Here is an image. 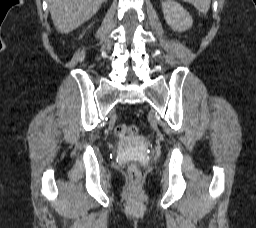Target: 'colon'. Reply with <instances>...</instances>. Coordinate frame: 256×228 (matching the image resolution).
I'll return each mask as SVG.
<instances>
[{
    "label": "colon",
    "mask_w": 256,
    "mask_h": 228,
    "mask_svg": "<svg viewBox=\"0 0 256 228\" xmlns=\"http://www.w3.org/2000/svg\"><path fill=\"white\" fill-rule=\"evenodd\" d=\"M137 128L134 125L120 124L116 127V134L120 137H128L136 134ZM129 184L136 188L141 180V173L136 165H131L128 169Z\"/></svg>",
    "instance_id": "5ec220e1"
}]
</instances>
